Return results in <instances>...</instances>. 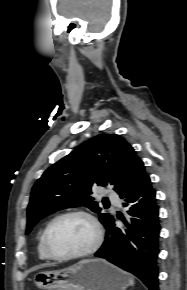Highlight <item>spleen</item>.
Wrapping results in <instances>:
<instances>
[{
	"label": "spleen",
	"mask_w": 187,
	"mask_h": 290,
	"mask_svg": "<svg viewBox=\"0 0 187 290\" xmlns=\"http://www.w3.org/2000/svg\"><path fill=\"white\" fill-rule=\"evenodd\" d=\"M133 283H134V282H133V280L131 279V280H130V284L133 285Z\"/></svg>",
	"instance_id": "3e777b00"
}]
</instances>
